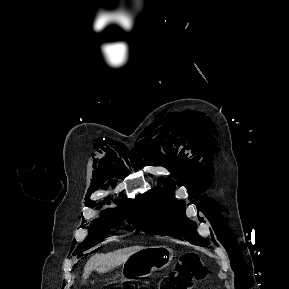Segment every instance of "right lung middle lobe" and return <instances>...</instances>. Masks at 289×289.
Here are the masks:
<instances>
[{
  "instance_id": "dd1d6c3e",
  "label": "right lung middle lobe",
  "mask_w": 289,
  "mask_h": 289,
  "mask_svg": "<svg viewBox=\"0 0 289 289\" xmlns=\"http://www.w3.org/2000/svg\"><path fill=\"white\" fill-rule=\"evenodd\" d=\"M119 208L109 209L103 213L101 218L94 220V225L90 228L88 237L79 244L74 255L80 254L87 249L100 243L102 239L107 237L110 230H119L122 221L133 224L136 228L139 227L141 219L139 209L134 203H122Z\"/></svg>"
}]
</instances>
